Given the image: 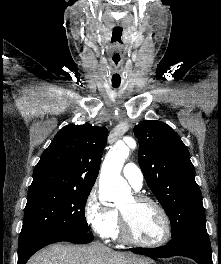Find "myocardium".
Segmentation results:
<instances>
[{"label":"myocardium","instance_id":"1","mask_svg":"<svg viewBox=\"0 0 221 264\" xmlns=\"http://www.w3.org/2000/svg\"><path fill=\"white\" fill-rule=\"evenodd\" d=\"M133 199L137 203H149L153 205L159 211V213L161 214L163 218L164 224H165V233H164V236L157 242L148 243V242L140 241L134 236L128 219L119 210V228H120V234L123 240L132 245L144 247V248H158V247L165 245L170 240L171 235H172L171 219L167 211L165 210V208L157 200L147 195L135 194L133 195Z\"/></svg>","mask_w":221,"mask_h":264}]
</instances>
